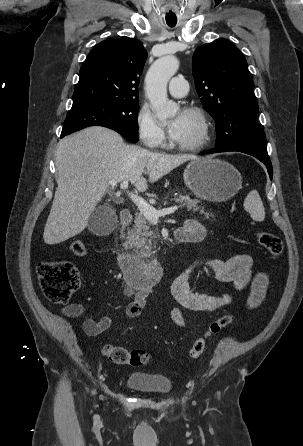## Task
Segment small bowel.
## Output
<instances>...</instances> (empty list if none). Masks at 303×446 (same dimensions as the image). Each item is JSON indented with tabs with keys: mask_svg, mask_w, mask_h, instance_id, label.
I'll return each instance as SVG.
<instances>
[{
	"mask_svg": "<svg viewBox=\"0 0 303 446\" xmlns=\"http://www.w3.org/2000/svg\"><path fill=\"white\" fill-rule=\"evenodd\" d=\"M179 232L189 238V243L199 242L206 235L204 226L193 219L187 220ZM252 263L253 260L248 254H239L228 259L196 261L174 279L171 284L172 296L179 307L195 312H212L228 305L232 300L228 294L211 295L193 289L194 275L197 271L205 269L210 271L217 281L230 283L236 290L249 288L250 294L246 305L248 308H254L265 296L268 277L265 273H254ZM124 293L132 297L126 307V314L130 318H136L140 316L147 299L152 295L153 287L146 286L140 289L127 287ZM179 307L171 310V319L175 324L184 326L185 320ZM62 313L69 318H82L83 330L88 336H97L109 329L112 324V320L108 316H103L100 319L87 317L86 308L80 303H72L63 307Z\"/></svg>",
	"mask_w": 303,
	"mask_h": 446,
	"instance_id": "c3829d8e",
	"label": "small bowel"
}]
</instances>
